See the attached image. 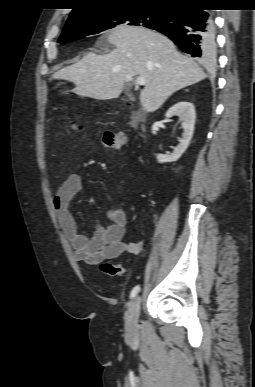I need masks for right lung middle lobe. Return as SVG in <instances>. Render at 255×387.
Returning <instances> with one entry per match:
<instances>
[{
    "instance_id": "dd1d6c3e",
    "label": "right lung middle lobe",
    "mask_w": 255,
    "mask_h": 387,
    "mask_svg": "<svg viewBox=\"0 0 255 387\" xmlns=\"http://www.w3.org/2000/svg\"><path fill=\"white\" fill-rule=\"evenodd\" d=\"M169 8L152 6H121L85 16L66 23L58 40L67 43L89 35L125 25L155 28L165 21Z\"/></svg>"
}]
</instances>
